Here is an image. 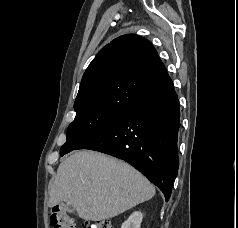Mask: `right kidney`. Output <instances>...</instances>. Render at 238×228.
Instances as JSON below:
<instances>
[{"label":"right kidney","mask_w":238,"mask_h":228,"mask_svg":"<svg viewBox=\"0 0 238 228\" xmlns=\"http://www.w3.org/2000/svg\"><path fill=\"white\" fill-rule=\"evenodd\" d=\"M142 219H143L142 213L139 211H135L122 224L121 228H140Z\"/></svg>","instance_id":"ca27d5eb"}]
</instances>
